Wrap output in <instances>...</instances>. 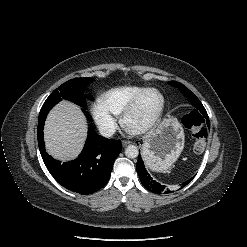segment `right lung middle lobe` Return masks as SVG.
I'll list each match as a JSON object with an SVG mask.
<instances>
[{
    "mask_svg": "<svg viewBox=\"0 0 247 247\" xmlns=\"http://www.w3.org/2000/svg\"><path fill=\"white\" fill-rule=\"evenodd\" d=\"M93 82L92 78H76L71 79L57 89H55L47 98V100L51 99H66L76 103L82 108L86 109V99H85V89L86 87Z\"/></svg>",
    "mask_w": 247,
    "mask_h": 247,
    "instance_id": "obj_1",
    "label": "right lung middle lobe"
}]
</instances>
